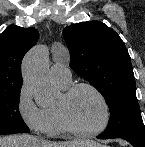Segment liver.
Returning <instances> with one entry per match:
<instances>
[{
  "label": "liver",
  "mask_w": 145,
  "mask_h": 147,
  "mask_svg": "<svg viewBox=\"0 0 145 147\" xmlns=\"http://www.w3.org/2000/svg\"><path fill=\"white\" fill-rule=\"evenodd\" d=\"M0 147H101V145L89 140L46 142L30 135H9L0 137Z\"/></svg>",
  "instance_id": "liver-1"
}]
</instances>
